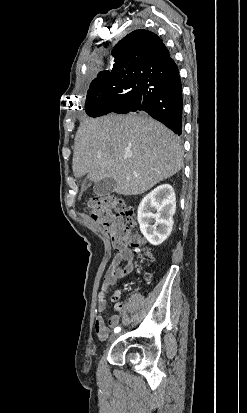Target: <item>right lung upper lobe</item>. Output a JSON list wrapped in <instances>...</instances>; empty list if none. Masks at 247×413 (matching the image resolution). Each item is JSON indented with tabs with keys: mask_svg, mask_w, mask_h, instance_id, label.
<instances>
[{
	"mask_svg": "<svg viewBox=\"0 0 247 413\" xmlns=\"http://www.w3.org/2000/svg\"><path fill=\"white\" fill-rule=\"evenodd\" d=\"M112 55L114 69L99 72L94 80L123 81L128 75L159 72L172 61L162 40L147 30L128 34L114 46Z\"/></svg>",
	"mask_w": 247,
	"mask_h": 413,
	"instance_id": "obj_1",
	"label": "right lung upper lobe"
}]
</instances>
